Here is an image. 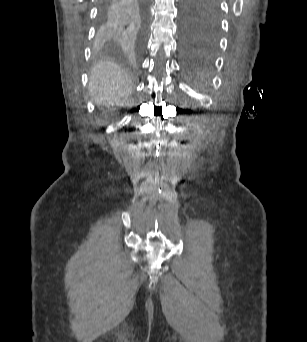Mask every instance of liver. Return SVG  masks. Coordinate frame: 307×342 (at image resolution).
<instances>
[{
    "instance_id": "obj_1",
    "label": "liver",
    "mask_w": 307,
    "mask_h": 342,
    "mask_svg": "<svg viewBox=\"0 0 307 342\" xmlns=\"http://www.w3.org/2000/svg\"><path fill=\"white\" fill-rule=\"evenodd\" d=\"M89 90L97 106H123L133 92V84L118 64L100 62L91 72Z\"/></svg>"
}]
</instances>
